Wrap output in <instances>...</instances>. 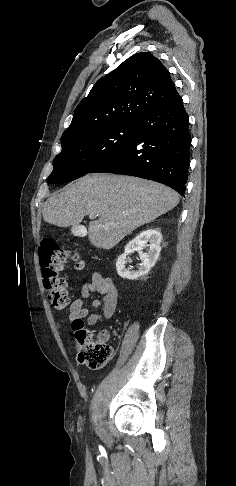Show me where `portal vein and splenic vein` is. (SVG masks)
<instances>
[{
	"label": "portal vein and splenic vein",
	"mask_w": 236,
	"mask_h": 486,
	"mask_svg": "<svg viewBox=\"0 0 236 486\" xmlns=\"http://www.w3.org/2000/svg\"><path fill=\"white\" fill-rule=\"evenodd\" d=\"M89 217H90L91 219H94V218L98 217V214H89Z\"/></svg>",
	"instance_id": "obj_1"
}]
</instances>
